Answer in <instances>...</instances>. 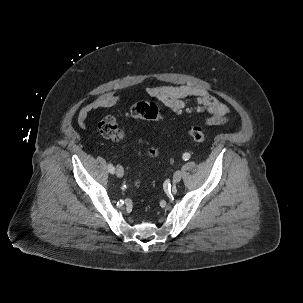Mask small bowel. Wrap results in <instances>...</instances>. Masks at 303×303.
<instances>
[{
  "label": "small bowel",
  "instance_id": "small-bowel-1",
  "mask_svg": "<svg viewBox=\"0 0 303 303\" xmlns=\"http://www.w3.org/2000/svg\"><path fill=\"white\" fill-rule=\"evenodd\" d=\"M148 93L177 114L193 112L204 114V122L207 125H223L230 119L229 108L203 88L163 85L149 88ZM190 99L195 101L196 105L194 107L188 105ZM119 100L120 96L114 92L97 96L81 107L77 117L78 124L84 128L90 112L100 108L112 107Z\"/></svg>",
  "mask_w": 303,
  "mask_h": 303
}]
</instances>
